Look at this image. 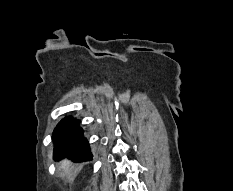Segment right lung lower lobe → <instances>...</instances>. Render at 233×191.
<instances>
[{"mask_svg":"<svg viewBox=\"0 0 233 191\" xmlns=\"http://www.w3.org/2000/svg\"><path fill=\"white\" fill-rule=\"evenodd\" d=\"M54 158H69L74 162L92 159L89 143L83 136L79 122L72 116L62 119L53 132Z\"/></svg>","mask_w":233,"mask_h":191,"instance_id":"obj_1","label":"right lung lower lobe"}]
</instances>
